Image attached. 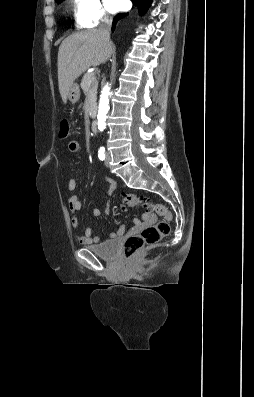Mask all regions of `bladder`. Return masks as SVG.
<instances>
[{
    "label": "bladder",
    "instance_id": "31cf9c89",
    "mask_svg": "<svg viewBox=\"0 0 254 397\" xmlns=\"http://www.w3.org/2000/svg\"><path fill=\"white\" fill-rule=\"evenodd\" d=\"M87 249L102 259L113 260L119 254V240L114 239L98 245H90Z\"/></svg>",
    "mask_w": 254,
    "mask_h": 397
}]
</instances>
